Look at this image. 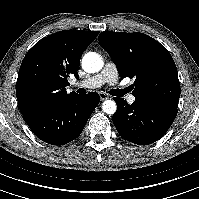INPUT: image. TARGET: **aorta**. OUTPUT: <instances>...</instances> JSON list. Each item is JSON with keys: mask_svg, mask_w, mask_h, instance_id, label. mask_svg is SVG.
<instances>
[{"mask_svg": "<svg viewBox=\"0 0 199 199\" xmlns=\"http://www.w3.org/2000/svg\"><path fill=\"white\" fill-rule=\"evenodd\" d=\"M103 67V61L99 54L89 52L84 55L82 59V68L88 73H97ZM102 109L107 114H114L117 106L113 100H106L102 104Z\"/></svg>", "mask_w": 199, "mask_h": 199, "instance_id": "762f6f07", "label": "aorta"}]
</instances>
